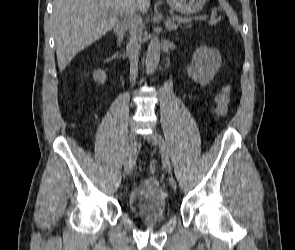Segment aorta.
Wrapping results in <instances>:
<instances>
[{
  "instance_id": "aorta-1",
  "label": "aorta",
  "mask_w": 295,
  "mask_h": 250,
  "mask_svg": "<svg viewBox=\"0 0 295 250\" xmlns=\"http://www.w3.org/2000/svg\"><path fill=\"white\" fill-rule=\"evenodd\" d=\"M160 60V42L157 36L151 38L148 45L146 55V72L147 74H153L158 67Z\"/></svg>"
}]
</instances>
